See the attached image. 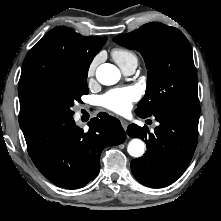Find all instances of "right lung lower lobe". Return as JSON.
<instances>
[{
	"mask_svg": "<svg viewBox=\"0 0 221 221\" xmlns=\"http://www.w3.org/2000/svg\"><path fill=\"white\" fill-rule=\"evenodd\" d=\"M72 116L37 119L21 126L35 166L49 181L67 189L92 181L100 169L102 150L126 138L120 121L106 113L92 118L87 132L76 126Z\"/></svg>",
	"mask_w": 221,
	"mask_h": 221,
	"instance_id": "98d812e1",
	"label": "right lung lower lobe"
}]
</instances>
